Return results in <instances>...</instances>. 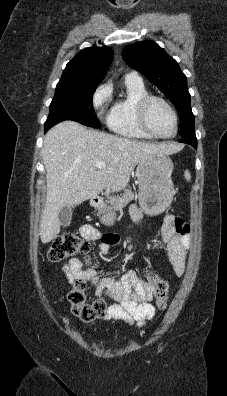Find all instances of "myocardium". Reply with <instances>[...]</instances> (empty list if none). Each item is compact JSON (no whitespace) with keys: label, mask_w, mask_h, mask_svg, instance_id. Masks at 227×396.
Wrapping results in <instances>:
<instances>
[{"label":"myocardium","mask_w":227,"mask_h":396,"mask_svg":"<svg viewBox=\"0 0 227 396\" xmlns=\"http://www.w3.org/2000/svg\"><path fill=\"white\" fill-rule=\"evenodd\" d=\"M153 101H159V102L163 103L171 112V114L174 118V122H175V130H174L173 134L168 135V136L160 135V134L156 133L150 126L149 121H148V110H149L150 104ZM137 118H138V122H139L141 128L146 133H148L149 135H151L154 138L171 139L177 135L178 130H179V117H178V114H177L175 108L166 98L159 96V95L148 94L139 101V103L137 105Z\"/></svg>","instance_id":"obj_1"}]
</instances>
